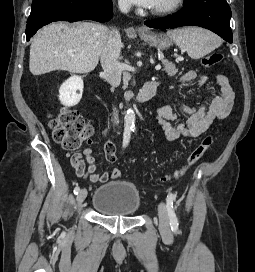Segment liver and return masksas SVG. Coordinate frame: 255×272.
<instances>
[{
    "instance_id": "6515ba94",
    "label": "liver",
    "mask_w": 255,
    "mask_h": 272,
    "mask_svg": "<svg viewBox=\"0 0 255 272\" xmlns=\"http://www.w3.org/2000/svg\"><path fill=\"white\" fill-rule=\"evenodd\" d=\"M109 31L108 27L92 22L73 25L58 22L43 27L30 46V72L42 75L55 70L72 73L94 70L107 43Z\"/></svg>"
}]
</instances>
